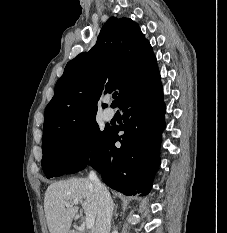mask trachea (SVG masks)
<instances>
[{
  "label": "trachea",
  "mask_w": 227,
  "mask_h": 233,
  "mask_svg": "<svg viewBox=\"0 0 227 233\" xmlns=\"http://www.w3.org/2000/svg\"><path fill=\"white\" fill-rule=\"evenodd\" d=\"M113 98H115L117 96V92L113 93Z\"/></svg>",
  "instance_id": "3493384b"
}]
</instances>
